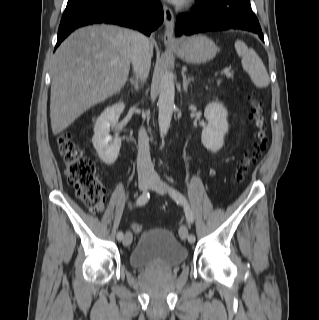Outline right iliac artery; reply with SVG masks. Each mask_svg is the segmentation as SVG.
Masks as SVG:
<instances>
[{"instance_id": "1", "label": "right iliac artery", "mask_w": 319, "mask_h": 320, "mask_svg": "<svg viewBox=\"0 0 319 320\" xmlns=\"http://www.w3.org/2000/svg\"><path fill=\"white\" fill-rule=\"evenodd\" d=\"M149 198H150V194H149V192L148 191H145L143 194H141L140 196H139V198L137 199V201H136V205L137 206H142V205H144L145 203H147V201L149 200ZM123 232H118V234H117V239H118V241H121L122 239H123Z\"/></svg>"}]
</instances>
